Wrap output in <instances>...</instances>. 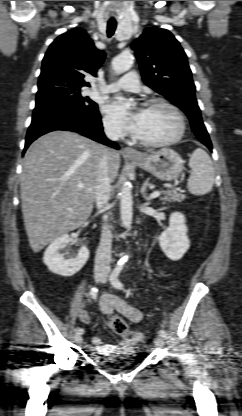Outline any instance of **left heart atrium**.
Returning a JSON list of instances; mask_svg holds the SVG:
<instances>
[{
  "label": "left heart atrium",
  "mask_w": 242,
  "mask_h": 416,
  "mask_svg": "<svg viewBox=\"0 0 242 416\" xmlns=\"http://www.w3.org/2000/svg\"><path fill=\"white\" fill-rule=\"evenodd\" d=\"M105 111L119 121L125 129L135 131L138 124L139 112L131 113L120 101H113L106 105Z\"/></svg>",
  "instance_id": "obj_1"
}]
</instances>
